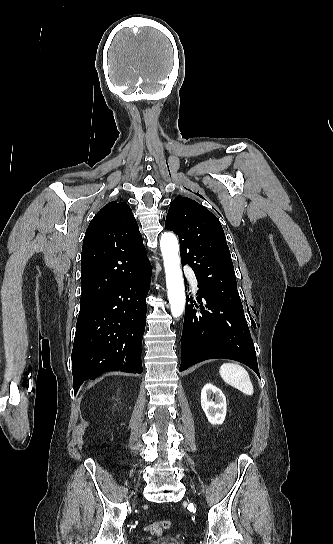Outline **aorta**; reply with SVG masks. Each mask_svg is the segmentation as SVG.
I'll return each mask as SVG.
<instances>
[{
	"mask_svg": "<svg viewBox=\"0 0 333 544\" xmlns=\"http://www.w3.org/2000/svg\"><path fill=\"white\" fill-rule=\"evenodd\" d=\"M163 256L168 299L173 317H180L185 307L184 280L180 267L179 245L172 233H164L160 239Z\"/></svg>",
	"mask_w": 333,
	"mask_h": 544,
	"instance_id": "762f6f07",
	"label": "aorta"
}]
</instances>
